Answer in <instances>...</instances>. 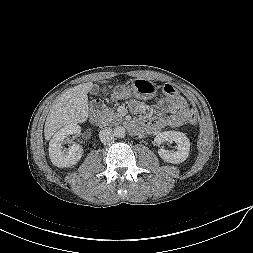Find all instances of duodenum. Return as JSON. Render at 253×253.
I'll return each instance as SVG.
<instances>
[{"label":"duodenum","instance_id":"obj_1","mask_svg":"<svg viewBox=\"0 0 253 253\" xmlns=\"http://www.w3.org/2000/svg\"><path fill=\"white\" fill-rule=\"evenodd\" d=\"M102 110H103V105L101 103L94 102L91 104V106H90V121L94 125L100 124ZM130 128L132 130H135V128L132 125H130Z\"/></svg>","mask_w":253,"mask_h":253}]
</instances>
